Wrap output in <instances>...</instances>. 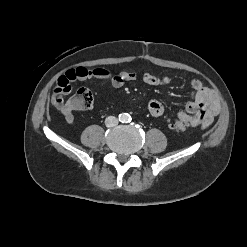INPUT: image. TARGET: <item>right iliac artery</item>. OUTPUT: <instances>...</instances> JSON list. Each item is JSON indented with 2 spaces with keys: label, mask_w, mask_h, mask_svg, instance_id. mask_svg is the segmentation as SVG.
Listing matches in <instances>:
<instances>
[{
  "label": "right iliac artery",
  "mask_w": 247,
  "mask_h": 247,
  "mask_svg": "<svg viewBox=\"0 0 247 247\" xmlns=\"http://www.w3.org/2000/svg\"><path fill=\"white\" fill-rule=\"evenodd\" d=\"M120 117H121V119H123L124 116H122V115L120 114L119 118H120Z\"/></svg>",
  "instance_id": "right-iliac-artery-1"
}]
</instances>
